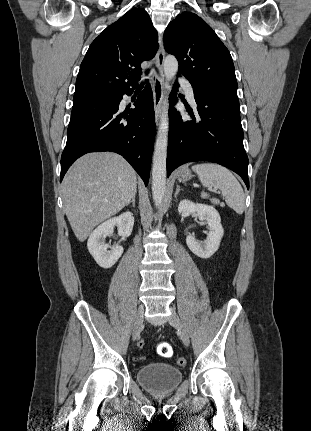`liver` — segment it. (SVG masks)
Here are the masks:
<instances>
[{
  "label": "liver",
  "instance_id": "obj_1",
  "mask_svg": "<svg viewBox=\"0 0 311 431\" xmlns=\"http://www.w3.org/2000/svg\"><path fill=\"white\" fill-rule=\"evenodd\" d=\"M137 194V176L118 154L95 152L79 158L62 184L64 212L79 241L95 225L115 216Z\"/></svg>",
  "mask_w": 311,
  "mask_h": 431
}]
</instances>
